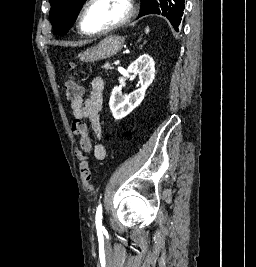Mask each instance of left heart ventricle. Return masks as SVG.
Wrapping results in <instances>:
<instances>
[{"label":"left heart ventricle","mask_w":256,"mask_h":267,"mask_svg":"<svg viewBox=\"0 0 256 267\" xmlns=\"http://www.w3.org/2000/svg\"><path fill=\"white\" fill-rule=\"evenodd\" d=\"M125 9L113 0H102L91 4L84 12L83 23L88 31H101L122 20Z\"/></svg>","instance_id":"b2bd125f"}]
</instances>
